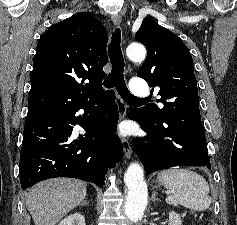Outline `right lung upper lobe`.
I'll use <instances>...</instances> for the list:
<instances>
[{
    "instance_id": "obj_1",
    "label": "right lung upper lobe",
    "mask_w": 237,
    "mask_h": 225,
    "mask_svg": "<svg viewBox=\"0 0 237 225\" xmlns=\"http://www.w3.org/2000/svg\"><path fill=\"white\" fill-rule=\"evenodd\" d=\"M107 43L104 27L88 13L74 14L51 26L36 48L28 113L97 96L106 77ZM85 80L89 83L83 85Z\"/></svg>"
}]
</instances>
